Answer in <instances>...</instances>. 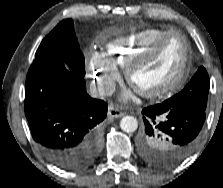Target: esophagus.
<instances>
[{"instance_id": "esophagus-1", "label": "esophagus", "mask_w": 223, "mask_h": 188, "mask_svg": "<svg viewBox=\"0 0 223 188\" xmlns=\"http://www.w3.org/2000/svg\"><path fill=\"white\" fill-rule=\"evenodd\" d=\"M121 116H123V113L119 109L115 108L113 105H109L108 107L109 118H119Z\"/></svg>"}]
</instances>
